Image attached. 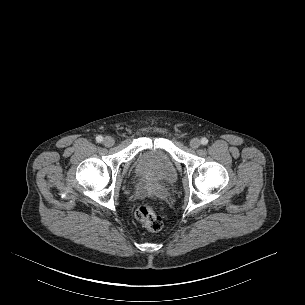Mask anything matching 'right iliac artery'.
Returning <instances> with one entry per match:
<instances>
[{
    "label": "right iliac artery",
    "instance_id": "82829eb1",
    "mask_svg": "<svg viewBox=\"0 0 305 305\" xmlns=\"http://www.w3.org/2000/svg\"><path fill=\"white\" fill-rule=\"evenodd\" d=\"M96 141H97V142H102V141H103V137H102L101 135H98V136L96 137Z\"/></svg>",
    "mask_w": 305,
    "mask_h": 305
}]
</instances>
